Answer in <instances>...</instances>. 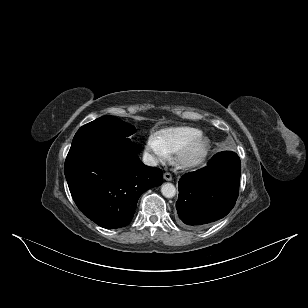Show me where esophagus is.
I'll list each match as a JSON object with an SVG mask.
<instances>
[{
    "instance_id": "34e87169",
    "label": "esophagus",
    "mask_w": 308,
    "mask_h": 308,
    "mask_svg": "<svg viewBox=\"0 0 308 308\" xmlns=\"http://www.w3.org/2000/svg\"><path fill=\"white\" fill-rule=\"evenodd\" d=\"M163 178L166 181H171L172 180V175L170 173L166 172V173H164Z\"/></svg>"
}]
</instances>
